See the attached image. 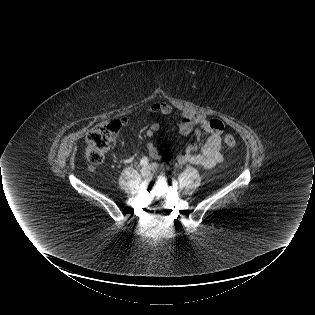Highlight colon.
<instances>
[{"label":"colon","instance_id":"5ec220e1","mask_svg":"<svg viewBox=\"0 0 315 315\" xmlns=\"http://www.w3.org/2000/svg\"><path fill=\"white\" fill-rule=\"evenodd\" d=\"M120 129L121 124L116 120L99 124L88 133L85 154L92 167L104 160L105 154L113 146ZM223 141L229 149L236 148L237 142L232 135H225Z\"/></svg>","mask_w":315,"mask_h":315}]
</instances>
